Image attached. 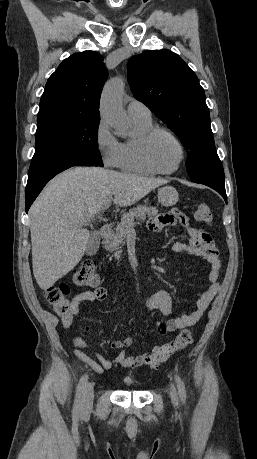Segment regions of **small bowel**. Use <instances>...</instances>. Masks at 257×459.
Segmentation results:
<instances>
[{
    "mask_svg": "<svg viewBox=\"0 0 257 459\" xmlns=\"http://www.w3.org/2000/svg\"><path fill=\"white\" fill-rule=\"evenodd\" d=\"M180 224L186 227L184 229V234L190 236L191 242L185 243L177 241L173 243L172 250L179 254H188L203 259L208 264L209 268L207 273L208 285L197 299L194 309L190 314L169 319L165 323H156V328L161 334L174 332L196 324L220 288V262L218 250L210 240L209 235L189 224L187 218L184 216L183 208H162L159 217L148 218V228L150 231L174 229L175 226H180ZM106 297L107 290L104 287H96L94 290H86L75 295L73 301L76 304V309L71 315L62 318L61 323L63 327L69 328L73 325L75 317L79 313V306L81 303L102 301L105 300ZM144 302L149 310H157L164 316H168L171 313L172 296L166 290H159L151 296L144 297ZM85 330L90 332L88 326L85 327ZM132 344L133 338L131 336L112 341L110 345L111 348L119 350V354L114 359L110 360L99 353H93L92 355L88 354V345L86 341L80 335H77L74 337L75 348L73 353L78 360L86 364L96 373L101 374L117 365L127 368H136L144 365L149 355L148 353L139 355L126 354L125 348L130 347Z\"/></svg>",
    "mask_w": 257,
    "mask_h": 459,
    "instance_id": "small-bowel-1",
    "label": "small bowel"
}]
</instances>
